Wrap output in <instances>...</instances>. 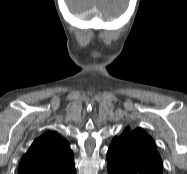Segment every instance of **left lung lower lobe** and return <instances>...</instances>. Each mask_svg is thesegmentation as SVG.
Here are the masks:
<instances>
[{"label":"left lung lower lobe","mask_w":187,"mask_h":174,"mask_svg":"<svg viewBox=\"0 0 187 174\" xmlns=\"http://www.w3.org/2000/svg\"><path fill=\"white\" fill-rule=\"evenodd\" d=\"M108 174H128V173L121 172V171H110V170H108Z\"/></svg>","instance_id":"left-lung-lower-lobe-1"}]
</instances>
